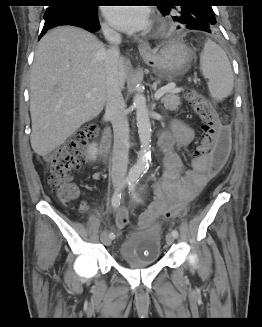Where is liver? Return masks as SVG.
<instances>
[{
  "instance_id": "6515ba94",
  "label": "liver",
  "mask_w": 262,
  "mask_h": 327,
  "mask_svg": "<svg viewBox=\"0 0 262 327\" xmlns=\"http://www.w3.org/2000/svg\"><path fill=\"white\" fill-rule=\"evenodd\" d=\"M106 47L76 27H58L38 44L30 77L31 146L46 158L106 103ZM124 88L126 68L119 61ZM90 94V96H87Z\"/></svg>"
}]
</instances>
